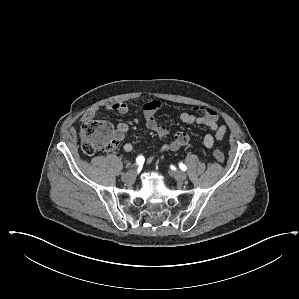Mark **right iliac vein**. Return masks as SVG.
<instances>
[{
  "mask_svg": "<svg viewBox=\"0 0 299 299\" xmlns=\"http://www.w3.org/2000/svg\"><path fill=\"white\" fill-rule=\"evenodd\" d=\"M136 171L130 170L122 176V181L126 183H132L135 180Z\"/></svg>",
  "mask_w": 299,
  "mask_h": 299,
  "instance_id": "obj_1",
  "label": "right iliac vein"
}]
</instances>
